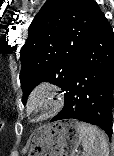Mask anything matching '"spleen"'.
Returning a JSON list of instances; mask_svg holds the SVG:
<instances>
[{"instance_id": "spleen-1", "label": "spleen", "mask_w": 114, "mask_h": 156, "mask_svg": "<svg viewBox=\"0 0 114 156\" xmlns=\"http://www.w3.org/2000/svg\"><path fill=\"white\" fill-rule=\"evenodd\" d=\"M78 130L82 136L83 156H109L107 137L94 125L79 122Z\"/></svg>"}]
</instances>
